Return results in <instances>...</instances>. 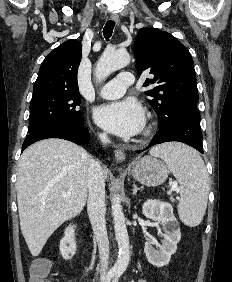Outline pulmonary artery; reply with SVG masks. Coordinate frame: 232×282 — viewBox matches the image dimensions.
Instances as JSON below:
<instances>
[{"instance_id": "e3ab8cb5", "label": "pulmonary artery", "mask_w": 232, "mask_h": 282, "mask_svg": "<svg viewBox=\"0 0 232 282\" xmlns=\"http://www.w3.org/2000/svg\"><path fill=\"white\" fill-rule=\"evenodd\" d=\"M134 83L131 72L122 71L118 76L106 83L99 91V95L105 99H117L124 95L126 88Z\"/></svg>"}]
</instances>
